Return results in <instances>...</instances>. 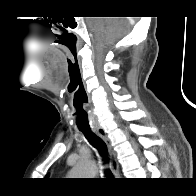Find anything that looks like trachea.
Returning <instances> with one entry per match:
<instances>
[{"label": "trachea", "mask_w": 196, "mask_h": 196, "mask_svg": "<svg viewBox=\"0 0 196 196\" xmlns=\"http://www.w3.org/2000/svg\"><path fill=\"white\" fill-rule=\"evenodd\" d=\"M79 130L85 135L86 139L89 141V143L98 150L100 155L103 157V160L106 163H109V159L107 157V146L105 142L97 136L91 129L90 127L87 128H80ZM106 175L109 177H113L112 173L110 170L106 171Z\"/></svg>", "instance_id": "3493384b"}]
</instances>
